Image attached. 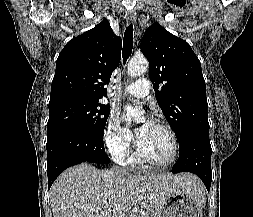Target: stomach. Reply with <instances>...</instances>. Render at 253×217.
<instances>
[{
    "mask_svg": "<svg viewBox=\"0 0 253 217\" xmlns=\"http://www.w3.org/2000/svg\"><path fill=\"white\" fill-rule=\"evenodd\" d=\"M204 203L198 195L186 190L171 193L156 210V217H203Z\"/></svg>",
    "mask_w": 253,
    "mask_h": 217,
    "instance_id": "stomach-1",
    "label": "stomach"
}]
</instances>
